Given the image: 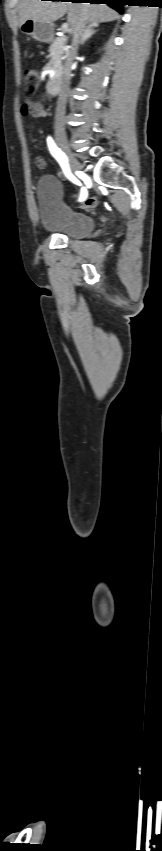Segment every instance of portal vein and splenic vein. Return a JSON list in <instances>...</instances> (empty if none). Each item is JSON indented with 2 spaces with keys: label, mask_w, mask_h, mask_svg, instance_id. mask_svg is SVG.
I'll use <instances>...</instances> for the list:
<instances>
[{
  "label": "portal vein and splenic vein",
  "mask_w": 162,
  "mask_h": 851,
  "mask_svg": "<svg viewBox=\"0 0 162 851\" xmlns=\"http://www.w3.org/2000/svg\"><path fill=\"white\" fill-rule=\"evenodd\" d=\"M61 30H62V32H67V31L69 30V25H68V23H64V24L62 25V27H61Z\"/></svg>",
  "instance_id": "obj_1"
}]
</instances>
